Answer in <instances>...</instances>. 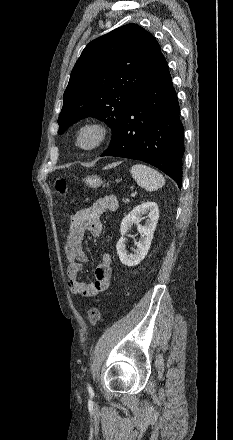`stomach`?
I'll use <instances>...</instances> for the list:
<instances>
[{"mask_svg":"<svg viewBox=\"0 0 233 440\" xmlns=\"http://www.w3.org/2000/svg\"><path fill=\"white\" fill-rule=\"evenodd\" d=\"M84 181L91 188H98L103 184L102 179L97 175L87 176Z\"/></svg>","mask_w":233,"mask_h":440,"instance_id":"obj_1","label":"stomach"}]
</instances>
